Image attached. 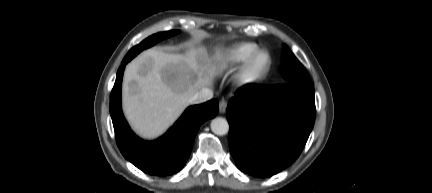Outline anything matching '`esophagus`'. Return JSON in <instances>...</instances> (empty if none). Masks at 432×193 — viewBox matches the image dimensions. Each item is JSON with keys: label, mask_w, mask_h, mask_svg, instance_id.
I'll return each mask as SVG.
<instances>
[{"label": "esophagus", "mask_w": 432, "mask_h": 193, "mask_svg": "<svg viewBox=\"0 0 432 193\" xmlns=\"http://www.w3.org/2000/svg\"><path fill=\"white\" fill-rule=\"evenodd\" d=\"M226 108H227V102L225 100H221L219 102V112L224 113L226 111Z\"/></svg>", "instance_id": "1"}]
</instances>
